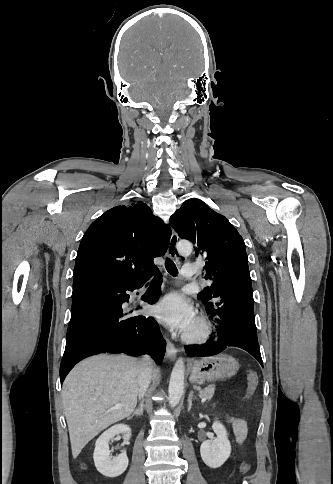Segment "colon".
Wrapping results in <instances>:
<instances>
[{"mask_svg":"<svg viewBox=\"0 0 333 484\" xmlns=\"http://www.w3.org/2000/svg\"><path fill=\"white\" fill-rule=\"evenodd\" d=\"M258 386V374L255 371L249 370L247 372V390L245 394V398L251 397L254 392L256 391ZM250 469V464L247 461H244L241 464L240 472L246 473Z\"/></svg>","mask_w":333,"mask_h":484,"instance_id":"1","label":"colon"}]
</instances>
